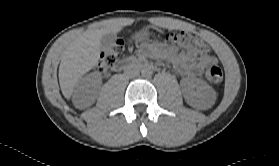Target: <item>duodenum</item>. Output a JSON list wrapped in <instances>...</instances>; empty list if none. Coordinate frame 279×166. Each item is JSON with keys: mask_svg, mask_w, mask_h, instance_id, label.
<instances>
[{"mask_svg": "<svg viewBox=\"0 0 279 166\" xmlns=\"http://www.w3.org/2000/svg\"><path fill=\"white\" fill-rule=\"evenodd\" d=\"M129 67L149 68V65L142 60H125L115 65V70L121 71Z\"/></svg>", "mask_w": 279, "mask_h": 166, "instance_id": "1", "label": "duodenum"}]
</instances>
